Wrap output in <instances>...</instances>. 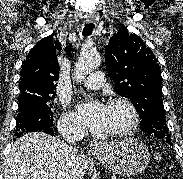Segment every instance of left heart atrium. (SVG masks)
<instances>
[{"instance_id":"obj_1","label":"left heart atrium","mask_w":183,"mask_h":179,"mask_svg":"<svg viewBox=\"0 0 183 179\" xmlns=\"http://www.w3.org/2000/svg\"><path fill=\"white\" fill-rule=\"evenodd\" d=\"M83 121L93 131H104L107 106L100 102L81 104L78 108Z\"/></svg>"}]
</instances>
